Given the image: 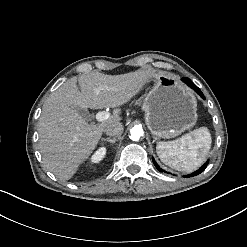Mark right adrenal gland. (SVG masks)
Segmentation results:
<instances>
[{
  "instance_id": "2a0ac1e0",
  "label": "right adrenal gland",
  "mask_w": 247,
  "mask_h": 247,
  "mask_svg": "<svg viewBox=\"0 0 247 247\" xmlns=\"http://www.w3.org/2000/svg\"><path fill=\"white\" fill-rule=\"evenodd\" d=\"M101 141H107V142H110V143H115L116 142V139L115 138H101Z\"/></svg>"
}]
</instances>
